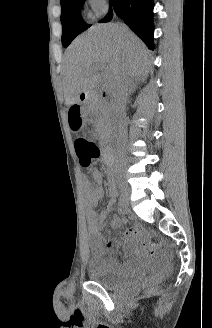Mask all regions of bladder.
Returning <instances> with one entry per match:
<instances>
[{
    "label": "bladder",
    "instance_id": "31cf9c89",
    "mask_svg": "<svg viewBox=\"0 0 212 328\" xmlns=\"http://www.w3.org/2000/svg\"><path fill=\"white\" fill-rule=\"evenodd\" d=\"M88 276L106 289L117 290L142 280V263L135 262L129 271L119 272L112 269L107 260L92 259L88 266Z\"/></svg>",
    "mask_w": 212,
    "mask_h": 328
}]
</instances>
